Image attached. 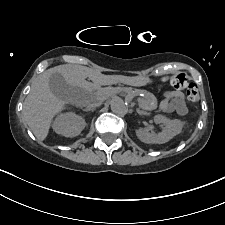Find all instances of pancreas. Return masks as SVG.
<instances>
[{"mask_svg":"<svg viewBox=\"0 0 225 225\" xmlns=\"http://www.w3.org/2000/svg\"><path fill=\"white\" fill-rule=\"evenodd\" d=\"M125 91L127 93H132L135 95H139L141 93H144V97L143 98H139V106L140 108H142L145 114H148L147 111H152L155 110L157 108V99L156 97L150 93V92H146L143 90H139V89H132V88H126ZM100 96H105L108 93L107 89L101 88L98 90L97 92Z\"/></svg>","mask_w":225,"mask_h":225,"instance_id":"cf45deb5","label":"pancreas"}]
</instances>
